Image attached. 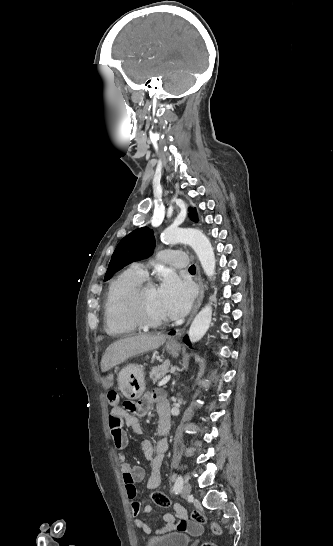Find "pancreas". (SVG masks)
<instances>
[{
    "mask_svg": "<svg viewBox=\"0 0 333 546\" xmlns=\"http://www.w3.org/2000/svg\"><path fill=\"white\" fill-rule=\"evenodd\" d=\"M170 362L166 361L160 366H155L150 371V378L156 382L157 380L163 378L169 371L170 368Z\"/></svg>",
    "mask_w": 333,
    "mask_h": 546,
    "instance_id": "1",
    "label": "pancreas"
}]
</instances>
